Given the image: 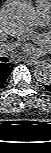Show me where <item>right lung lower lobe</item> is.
Returning <instances> with one entry per match:
<instances>
[{
  "label": "right lung lower lobe",
  "mask_w": 51,
  "mask_h": 153,
  "mask_svg": "<svg viewBox=\"0 0 51 153\" xmlns=\"http://www.w3.org/2000/svg\"><path fill=\"white\" fill-rule=\"evenodd\" d=\"M13 66L14 64L11 63H0V87L6 82Z\"/></svg>",
  "instance_id": "obj_1"
}]
</instances>
